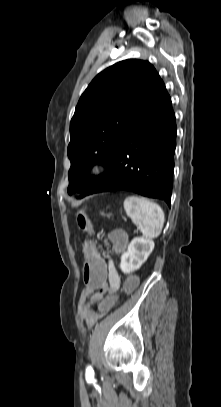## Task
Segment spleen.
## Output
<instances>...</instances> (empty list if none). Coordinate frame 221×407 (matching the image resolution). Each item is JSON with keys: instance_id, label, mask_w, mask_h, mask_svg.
<instances>
[{"instance_id": "1", "label": "spleen", "mask_w": 221, "mask_h": 407, "mask_svg": "<svg viewBox=\"0 0 221 407\" xmlns=\"http://www.w3.org/2000/svg\"><path fill=\"white\" fill-rule=\"evenodd\" d=\"M124 209L145 238L159 236L165 217L158 204L143 197L129 196L124 201Z\"/></svg>"}]
</instances>
